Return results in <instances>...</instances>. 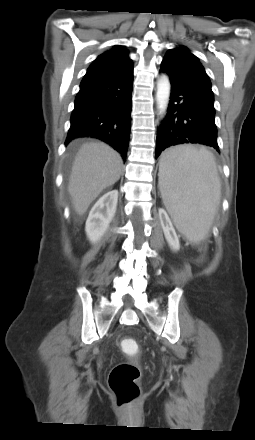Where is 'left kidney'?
<instances>
[{
  "label": "left kidney",
  "instance_id": "1",
  "mask_svg": "<svg viewBox=\"0 0 255 440\" xmlns=\"http://www.w3.org/2000/svg\"><path fill=\"white\" fill-rule=\"evenodd\" d=\"M160 215H162L163 219H164L162 227H163V231L165 234V238H166L169 246L174 251L179 250V248H180L179 240H178L177 234L175 232V229L172 226L170 219L168 218L167 214L164 211H162V213Z\"/></svg>",
  "mask_w": 255,
  "mask_h": 440
}]
</instances>
